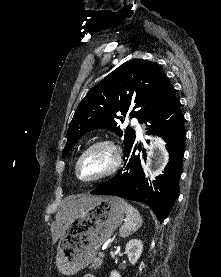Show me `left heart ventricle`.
I'll use <instances>...</instances> for the list:
<instances>
[{
	"mask_svg": "<svg viewBox=\"0 0 221 277\" xmlns=\"http://www.w3.org/2000/svg\"><path fill=\"white\" fill-rule=\"evenodd\" d=\"M111 163V154L107 149L98 148L87 154L80 163L79 175L84 179L93 178L104 172Z\"/></svg>",
	"mask_w": 221,
	"mask_h": 277,
	"instance_id": "b2bd125f",
	"label": "left heart ventricle"
}]
</instances>
